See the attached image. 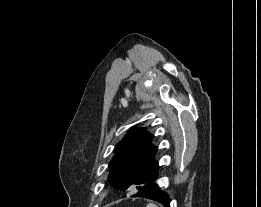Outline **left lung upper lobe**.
<instances>
[{"label":"left lung upper lobe","mask_w":261,"mask_h":207,"mask_svg":"<svg viewBox=\"0 0 261 207\" xmlns=\"http://www.w3.org/2000/svg\"><path fill=\"white\" fill-rule=\"evenodd\" d=\"M116 145L115 156L110 162L108 181L118 190L141 185L158 176L157 152L151 144L152 135L146 128H135Z\"/></svg>","instance_id":"obj_1"}]
</instances>
